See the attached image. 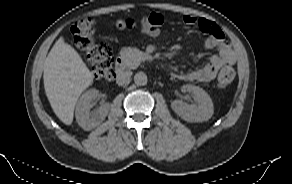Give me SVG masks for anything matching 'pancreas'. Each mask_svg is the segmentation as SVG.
I'll list each match as a JSON object with an SVG mask.
<instances>
[{"mask_svg":"<svg viewBox=\"0 0 292 184\" xmlns=\"http://www.w3.org/2000/svg\"><path fill=\"white\" fill-rule=\"evenodd\" d=\"M143 53L136 48H122L120 56L123 60V65L128 69H135L141 62Z\"/></svg>","mask_w":292,"mask_h":184,"instance_id":"obj_1","label":"pancreas"}]
</instances>
